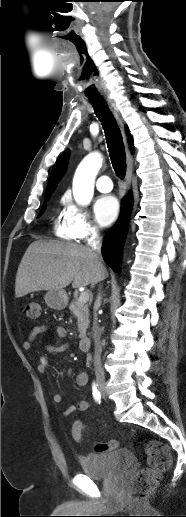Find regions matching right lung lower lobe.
<instances>
[{"mask_svg":"<svg viewBox=\"0 0 186 517\" xmlns=\"http://www.w3.org/2000/svg\"><path fill=\"white\" fill-rule=\"evenodd\" d=\"M132 204V198L127 199V208L130 210ZM128 218L127 214H121L119 222L109 231L105 236L102 245V255L105 262L114 270L119 271V263L122 256V250L124 247L126 234L128 230L127 226Z\"/></svg>","mask_w":186,"mask_h":517,"instance_id":"right-lung-lower-lobe-1","label":"right lung lower lobe"}]
</instances>
